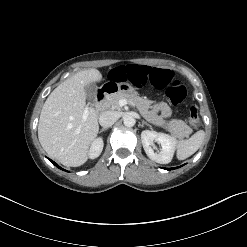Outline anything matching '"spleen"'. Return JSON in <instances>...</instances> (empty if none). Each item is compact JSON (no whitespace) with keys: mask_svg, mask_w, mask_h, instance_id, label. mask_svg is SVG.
<instances>
[{"mask_svg":"<svg viewBox=\"0 0 247 247\" xmlns=\"http://www.w3.org/2000/svg\"><path fill=\"white\" fill-rule=\"evenodd\" d=\"M205 138L203 130L197 131L187 140H180L177 146V158L184 160L193 155L202 145Z\"/></svg>","mask_w":247,"mask_h":247,"instance_id":"1","label":"spleen"}]
</instances>
